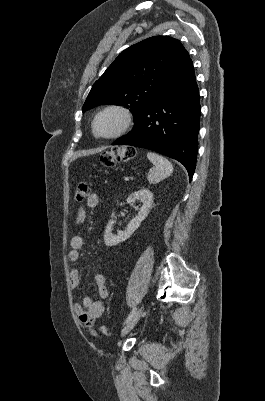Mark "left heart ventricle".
<instances>
[{"instance_id": "1", "label": "left heart ventricle", "mask_w": 265, "mask_h": 401, "mask_svg": "<svg viewBox=\"0 0 265 401\" xmlns=\"http://www.w3.org/2000/svg\"><path fill=\"white\" fill-rule=\"evenodd\" d=\"M120 125V117L117 113L102 115L96 123V132L99 135L107 136L114 133Z\"/></svg>"}]
</instances>
